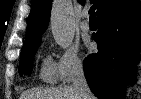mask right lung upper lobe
Here are the masks:
<instances>
[{"instance_id": "1", "label": "right lung upper lobe", "mask_w": 141, "mask_h": 99, "mask_svg": "<svg viewBox=\"0 0 141 99\" xmlns=\"http://www.w3.org/2000/svg\"><path fill=\"white\" fill-rule=\"evenodd\" d=\"M81 4L84 0H79ZM110 0H95L97 3V15L105 9ZM52 7V0H33L31 12L28 18L26 43L41 41V35L48 27ZM24 44V45H25Z\"/></svg>"}]
</instances>
